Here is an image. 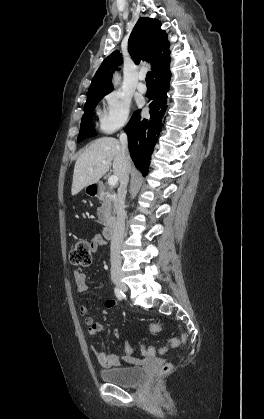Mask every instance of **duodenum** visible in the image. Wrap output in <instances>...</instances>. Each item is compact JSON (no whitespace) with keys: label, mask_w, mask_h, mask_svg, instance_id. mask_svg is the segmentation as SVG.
Here are the masks:
<instances>
[{"label":"duodenum","mask_w":264,"mask_h":419,"mask_svg":"<svg viewBox=\"0 0 264 419\" xmlns=\"http://www.w3.org/2000/svg\"><path fill=\"white\" fill-rule=\"evenodd\" d=\"M91 194L94 197H98V198L103 197L105 195V191H104L103 186L101 184H95V185H93L92 186V192H91ZM115 231H116V223H115L114 220H110L106 224V226L104 227L103 236L106 239L110 240V239H112L114 237Z\"/></svg>","instance_id":"1"}]
</instances>
